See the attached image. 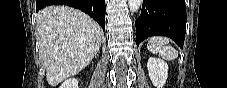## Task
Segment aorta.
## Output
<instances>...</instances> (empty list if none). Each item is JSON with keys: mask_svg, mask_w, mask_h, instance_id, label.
Instances as JSON below:
<instances>
[{"mask_svg": "<svg viewBox=\"0 0 227 88\" xmlns=\"http://www.w3.org/2000/svg\"><path fill=\"white\" fill-rule=\"evenodd\" d=\"M141 4L142 0H128V5L132 12H137Z\"/></svg>", "mask_w": 227, "mask_h": 88, "instance_id": "obj_1", "label": "aorta"}]
</instances>
